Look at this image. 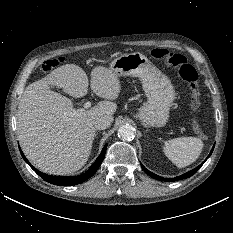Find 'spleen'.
<instances>
[{
	"label": "spleen",
	"instance_id": "1",
	"mask_svg": "<svg viewBox=\"0 0 233 233\" xmlns=\"http://www.w3.org/2000/svg\"><path fill=\"white\" fill-rule=\"evenodd\" d=\"M203 149V142L196 137H179L166 142L165 155L179 168L196 161Z\"/></svg>",
	"mask_w": 233,
	"mask_h": 233
}]
</instances>
